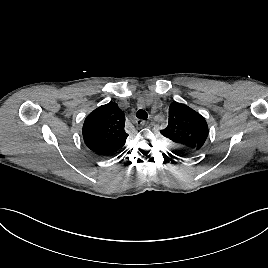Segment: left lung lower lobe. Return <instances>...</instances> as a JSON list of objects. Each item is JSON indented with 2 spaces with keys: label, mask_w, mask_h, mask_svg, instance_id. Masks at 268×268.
<instances>
[{
  "label": "left lung lower lobe",
  "mask_w": 268,
  "mask_h": 268,
  "mask_svg": "<svg viewBox=\"0 0 268 268\" xmlns=\"http://www.w3.org/2000/svg\"><path fill=\"white\" fill-rule=\"evenodd\" d=\"M180 152L184 153V154H192L194 153L191 150L185 149V148H177Z\"/></svg>",
  "instance_id": "1"
}]
</instances>
